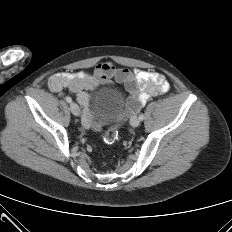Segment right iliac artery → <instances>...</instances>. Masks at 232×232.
I'll return each mask as SVG.
<instances>
[{
    "instance_id": "1",
    "label": "right iliac artery",
    "mask_w": 232,
    "mask_h": 232,
    "mask_svg": "<svg viewBox=\"0 0 232 232\" xmlns=\"http://www.w3.org/2000/svg\"><path fill=\"white\" fill-rule=\"evenodd\" d=\"M65 100H66L68 103H71V102H72V99H71V97H69V96H66Z\"/></svg>"
}]
</instances>
